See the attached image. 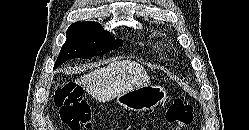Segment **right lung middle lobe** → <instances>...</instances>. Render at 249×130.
Wrapping results in <instances>:
<instances>
[{
  "label": "right lung middle lobe",
  "mask_w": 249,
  "mask_h": 130,
  "mask_svg": "<svg viewBox=\"0 0 249 130\" xmlns=\"http://www.w3.org/2000/svg\"><path fill=\"white\" fill-rule=\"evenodd\" d=\"M122 45V40L116 39L104 31L97 22H76L67 30V40L62 46L55 67L73 58L91 59L103 55Z\"/></svg>",
  "instance_id": "obj_1"
}]
</instances>
